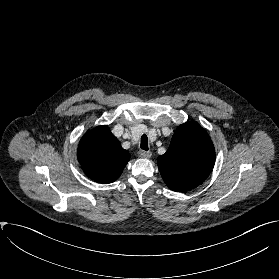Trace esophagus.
I'll list each match as a JSON object with an SVG mask.
<instances>
[{
	"label": "esophagus",
	"mask_w": 279,
	"mask_h": 279,
	"mask_svg": "<svg viewBox=\"0 0 279 279\" xmlns=\"http://www.w3.org/2000/svg\"><path fill=\"white\" fill-rule=\"evenodd\" d=\"M138 155L141 157V158H150L152 156V153L149 152V151H144V150H140L138 152Z\"/></svg>",
	"instance_id": "obj_1"
}]
</instances>
